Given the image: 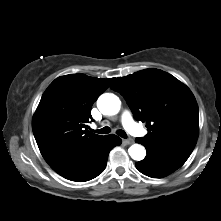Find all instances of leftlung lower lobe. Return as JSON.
<instances>
[{"label": "left lung lower lobe", "instance_id": "obj_1", "mask_svg": "<svg viewBox=\"0 0 221 221\" xmlns=\"http://www.w3.org/2000/svg\"><path fill=\"white\" fill-rule=\"evenodd\" d=\"M136 142L147 150V156L136 163V168L152 178H162L177 170L186 162L196 145L193 140L153 143L136 138Z\"/></svg>", "mask_w": 221, "mask_h": 221}]
</instances>
